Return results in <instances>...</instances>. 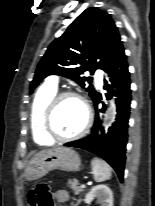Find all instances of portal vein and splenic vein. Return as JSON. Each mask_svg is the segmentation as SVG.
Returning <instances> with one entry per match:
<instances>
[{"mask_svg": "<svg viewBox=\"0 0 155 206\" xmlns=\"http://www.w3.org/2000/svg\"><path fill=\"white\" fill-rule=\"evenodd\" d=\"M81 188H85V184H81V186H80Z\"/></svg>", "mask_w": 155, "mask_h": 206, "instance_id": "obj_1", "label": "portal vein and splenic vein"}]
</instances>
